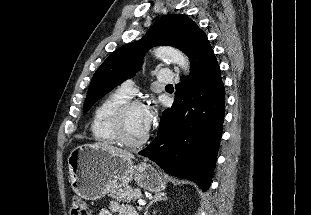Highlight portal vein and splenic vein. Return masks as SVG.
<instances>
[{
    "mask_svg": "<svg viewBox=\"0 0 311 215\" xmlns=\"http://www.w3.org/2000/svg\"><path fill=\"white\" fill-rule=\"evenodd\" d=\"M138 204L141 205V206H144V205H146V202L143 199H139L138 200Z\"/></svg>",
    "mask_w": 311,
    "mask_h": 215,
    "instance_id": "1",
    "label": "portal vein and splenic vein"
}]
</instances>
